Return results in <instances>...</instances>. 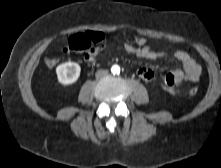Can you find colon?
I'll list each match as a JSON object with an SVG mask.
<instances>
[{"label": "colon", "instance_id": "colon-1", "mask_svg": "<svg viewBox=\"0 0 221 168\" xmlns=\"http://www.w3.org/2000/svg\"><path fill=\"white\" fill-rule=\"evenodd\" d=\"M103 39L104 34L101 32L77 33L68 39L67 50L74 53L89 52L94 44L102 42ZM133 43L137 47H144L147 44V39L142 36H135ZM45 63L49 68H53L57 64V60L54 58H47ZM197 92L198 90L196 87L189 90L191 96H195Z\"/></svg>", "mask_w": 221, "mask_h": 168}]
</instances>
